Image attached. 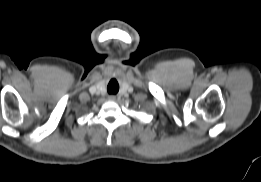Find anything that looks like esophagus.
<instances>
[{"label":"esophagus","mask_w":261,"mask_h":182,"mask_svg":"<svg viewBox=\"0 0 261 182\" xmlns=\"http://www.w3.org/2000/svg\"><path fill=\"white\" fill-rule=\"evenodd\" d=\"M108 99H109L110 101H114V100L116 99V97H115L114 95H110V96H108Z\"/></svg>","instance_id":"esophagus-1"}]
</instances>
